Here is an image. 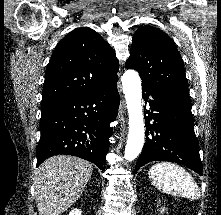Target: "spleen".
Here are the masks:
<instances>
[{
    "label": "spleen",
    "mask_w": 221,
    "mask_h": 215,
    "mask_svg": "<svg viewBox=\"0 0 221 215\" xmlns=\"http://www.w3.org/2000/svg\"><path fill=\"white\" fill-rule=\"evenodd\" d=\"M149 179L158 189L167 194L181 195L190 199H198L200 190L194 178L182 167L162 162L149 170Z\"/></svg>",
    "instance_id": "spleen-1"
}]
</instances>
